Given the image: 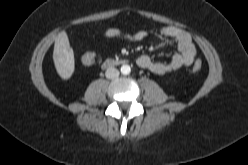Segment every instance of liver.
Segmentation results:
<instances>
[{"label":"liver","instance_id":"obj_1","mask_svg":"<svg viewBox=\"0 0 248 165\" xmlns=\"http://www.w3.org/2000/svg\"><path fill=\"white\" fill-rule=\"evenodd\" d=\"M53 60L57 73L62 79H69L75 69L74 53L65 31L55 38Z\"/></svg>","mask_w":248,"mask_h":165}]
</instances>
